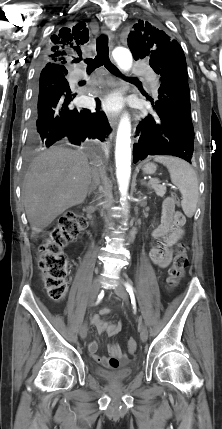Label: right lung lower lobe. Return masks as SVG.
Listing matches in <instances>:
<instances>
[{
	"label": "right lung lower lobe",
	"mask_w": 222,
	"mask_h": 429,
	"mask_svg": "<svg viewBox=\"0 0 222 429\" xmlns=\"http://www.w3.org/2000/svg\"><path fill=\"white\" fill-rule=\"evenodd\" d=\"M65 75L57 64L47 63L42 69L33 107V135L47 147L55 143L79 146L86 139L105 141L111 132L106 115L99 105L96 112L74 108L75 95Z\"/></svg>",
	"instance_id": "right-lung-lower-lobe-1"
}]
</instances>
